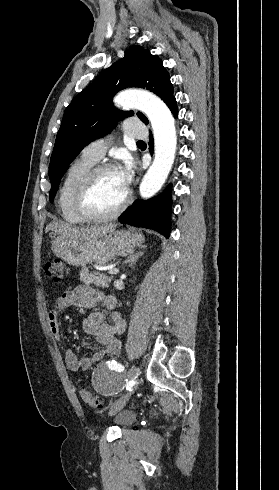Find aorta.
<instances>
[{
  "label": "aorta",
  "mask_w": 279,
  "mask_h": 490,
  "mask_svg": "<svg viewBox=\"0 0 279 490\" xmlns=\"http://www.w3.org/2000/svg\"><path fill=\"white\" fill-rule=\"evenodd\" d=\"M114 103L140 110L153 128L154 160L139 187L141 197L150 198L165 183L175 159L177 136L174 118L160 98L146 91L120 92L114 98Z\"/></svg>",
  "instance_id": "762f6f07"
}]
</instances>
